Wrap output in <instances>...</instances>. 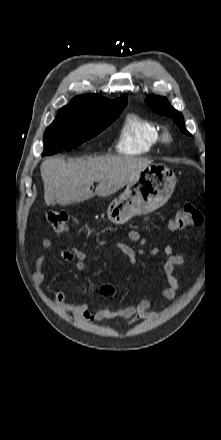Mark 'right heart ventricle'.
<instances>
[{"mask_svg": "<svg viewBox=\"0 0 221 440\" xmlns=\"http://www.w3.org/2000/svg\"><path fill=\"white\" fill-rule=\"evenodd\" d=\"M163 142L162 130L151 120L128 115L122 125L117 151L128 155H143L157 149Z\"/></svg>", "mask_w": 221, "mask_h": 440, "instance_id": "right-heart-ventricle-1", "label": "right heart ventricle"}]
</instances>
